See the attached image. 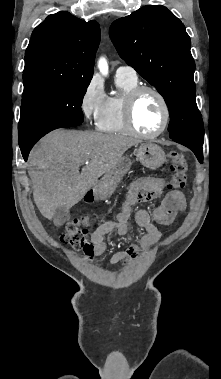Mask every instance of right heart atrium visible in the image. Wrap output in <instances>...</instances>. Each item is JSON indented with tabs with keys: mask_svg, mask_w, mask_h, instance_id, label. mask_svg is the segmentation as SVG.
Wrapping results in <instances>:
<instances>
[{
	"mask_svg": "<svg viewBox=\"0 0 221 379\" xmlns=\"http://www.w3.org/2000/svg\"><path fill=\"white\" fill-rule=\"evenodd\" d=\"M107 98L102 84L96 78H92L86 85L80 100L84 117L88 121L97 123L104 112Z\"/></svg>",
	"mask_w": 221,
	"mask_h": 379,
	"instance_id": "obj_1",
	"label": "right heart atrium"
}]
</instances>
